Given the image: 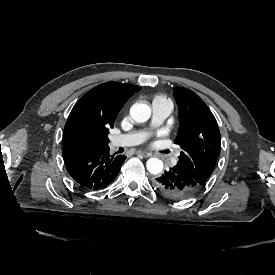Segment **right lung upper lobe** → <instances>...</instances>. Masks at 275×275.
I'll use <instances>...</instances> for the list:
<instances>
[{"mask_svg": "<svg viewBox=\"0 0 275 275\" xmlns=\"http://www.w3.org/2000/svg\"><path fill=\"white\" fill-rule=\"evenodd\" d=\"M140 89L139 86L119 82L100 84L74 105L63 133V149L76 146L74 137L86 126L113 125L126 100Z\"/></svg>", "mask_w": 275, "mask_h": 275, "instance_id": "obj_1", "label": "right lung upper lobe"}]
</instances>
